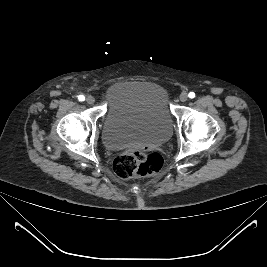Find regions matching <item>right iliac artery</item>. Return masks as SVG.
Segmentation results:
<instances>
[{"mask_svg": "<svg viewBox=\"0 0 267 267\" xmlns=\"http://www.w3.org/2000/svg\"><path fill=\"white\" fill-rule=\"evenodd\" d=\"M78 99H79V101H84V100H85V97H84L83 95H80V96L78 97Z\"/></svg>", "mask_w": 267, "mask_h": 267, "instance_id": "right-iliac-artery-1", "label": "right iliac artery"}]
</instances>
